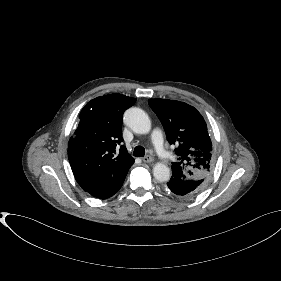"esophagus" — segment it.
Segmentation results:
<instances>
[{
    "instance_id": "1",
    "label": "esophagus",
    "mask_w": 281,
    "mask_h": 281,
    "mask_svg": "<svg viewBox=\"0 0 281 281\" xmlns=\"http://www.w3.org/2000/svg\"><path fill=\"white\" fill-rule=\"evenodd\" d=\"M142 161L145 163H151L153 161V158L150 155H146L142 158Z\"/></svg>"
}]
</instances>
